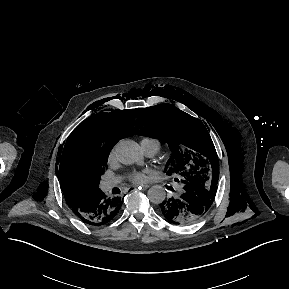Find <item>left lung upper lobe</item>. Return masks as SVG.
I'll return each instance as SVG.
<instances>
[{"label":"left lung upper lobe","mask_w":289,"mask_h":289,"mask_svg":"<svg viewBox=\"0 0 289 289\" xmlns=\"http://www.w3.org/2000/svg\"><path fill=\"white\" fill-rule=\"evenodd\" d=\"M138 134L158 136L168 143L173 157L168 175L176 173L183 185L195 180L217 182L219 162L214 144L201 121L167 104L138 109ZM179 181V180H178Z\"/></svg>","instance_id":"1"}]
</instances>
